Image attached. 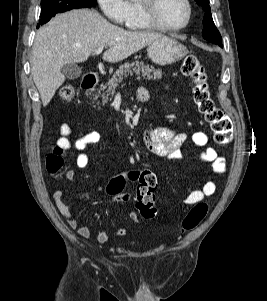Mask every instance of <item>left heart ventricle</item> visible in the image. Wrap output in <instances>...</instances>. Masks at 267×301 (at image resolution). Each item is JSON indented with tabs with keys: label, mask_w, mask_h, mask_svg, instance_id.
Masks as SVG:
<instances>
[{
	"label": "left heart ventricle",
	"mask_w": 267,
	"mask_h": 301,
	"mask_svg": "<svg viewBox=\"0 0 267 301\" xmlns=\"http://www.w3.org/2000/svg\"><path fill=\"white\" fill-rule=\"evenodd\" d=\"M158 15L167 25H180L187 17V9L183 0H160Z\"/></svg>",
	"instance_id": "b2bd125f"
}]
</instances>
